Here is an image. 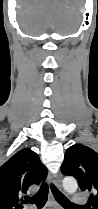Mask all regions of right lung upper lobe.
I'll return each mask as SVG.
<instances>
[{
  "mask_svg": "<svg viewBox=\"0 0 98 209\" xmlns=\"http://www.w3.org/2000/svg\"><path fill=\"white\" fill-rule=\"evenodd\" d=\"M47 176V168L30 149H22L0 167V209H22V199L32 185Z\"/></svg>",
  "mask_w": 98,
  "mask_h": 209,
  "instance_id": "obj_1",
  "label": "right lung upper lobe"
}]
</instances>
